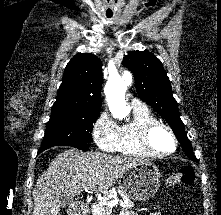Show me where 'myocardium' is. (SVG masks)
<instances>
[{"label": "myocardium", "instance_id": "obj_1", "mask_svg": "<svg viewBox=\"0 0 221 215\" xmlns=\"http://www.w3.org/2000/svg\"><path fill=\"white\" fill-rule=\"evenodd\" d=\"M158 129H165L171 136L173 141V148L171 150L159 151L153 146L152 136ZM139 143L142 149L145 150L147 153L152 156L158 157L168 156L174 153L178 146V140L172 128L169 125L160 121L149 123L141 130V133L139 135Z\"/></svg>", "mask_w": 221, "mask_h": 215}]
</instances>
